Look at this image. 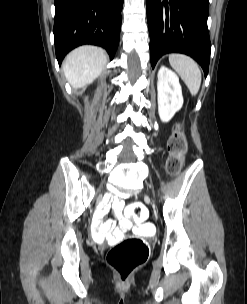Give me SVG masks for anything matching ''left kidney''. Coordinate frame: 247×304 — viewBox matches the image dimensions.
Here are the masks:
<instances>
[{
  "label": "left kidney",
  "mask_w": 247,
  "mask_h": 304,
  "mask_svg": "<svg viewBox=\"0 0 247 304\" xmlns=\"http://www.w3.org/2000/svg\"><path fill=\"white\" fill-rule=\"evenodd\" d=\"M158 112L163 122H168L183 105L179 78L172 70L161 66L158 71Z\"/></svg>",
  "instance_id": "obj_1"
}]
</instances>
